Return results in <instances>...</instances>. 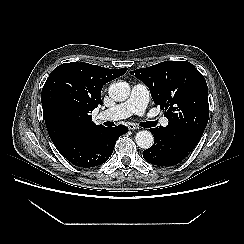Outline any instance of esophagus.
Wrapping results in <instances>:
<instances>
[{
  "mask_svg": "<svg viewBox=\"0 0 244 244\" xmlns=\"http://www.w3.org/2000/svg\"><path fill=\"white\" fill-rule=\"evenodd\" d=\"M128 128H129V130H137V129H139V127L137 125H135V124H129Z\"/></svg>",
  "mask_w": 244,
  "mask_h": 244,
  "instance_id": "esophagus-1",
  "label": "esophagus"
}]
</instances>
